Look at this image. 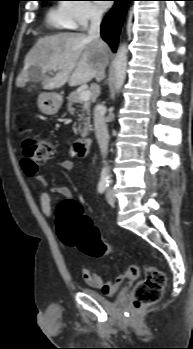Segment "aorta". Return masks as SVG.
Here are the masks:
<instances>
[{"mask_svg": "<svg viewBox=\"0 0 193 349\" xmlns=\"http://www.w3.org/2000/svg\"><path fill=\"white\" fill-rule=\"evenodd\" d=\"M127 53L128 50L126 44H121L117 50L113 62L115 75V90L117 93L120 92L125 82L128 61ZM100 179L101 181H106L109 179V171L106 166H104L101 170Z\"/></svg>", "mask_w": 193, "mask_h": 349, "instance_id": "obj_1", "label": "aorta"}]
</instances>
